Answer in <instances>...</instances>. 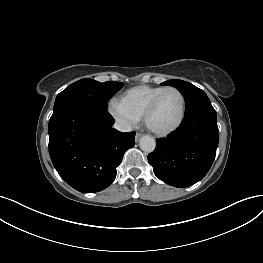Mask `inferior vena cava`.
<instances>
[{
  "label": "inferior vena cava",
  "instance_id": "obj_1",
  "mask_svg": "<svg viewBox=\"0 0 263 263\" xmlns=\"http://www.w3.org/2000/svg\"><path fill=\"white\" fill-rule=\"evenodd\" d=\"M114 128L121 132H130L131 125L125 122H116Z\"/></svg>",
  "mask_w": 263,
  "mask_h": 263
}]
</instances>
